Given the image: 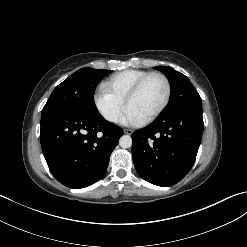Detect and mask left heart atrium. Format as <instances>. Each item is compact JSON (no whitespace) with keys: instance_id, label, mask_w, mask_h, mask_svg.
<instances>
[{"instance_id":"obj_1","label":"left heart atrium","mask_w":247,"mask_h":247,"mask_svg":"<svg viewBox=\"0 0 247 247\" xmlns=\"http://www.w3.org/2000/svg\"><path fill=\"white\" fill-rule=\"evenodd\" d=\"M143 121L144 119L130 107L126 108L125 113L121 118V122L125 125H140Z\"/></svg>"}]
</instances>
